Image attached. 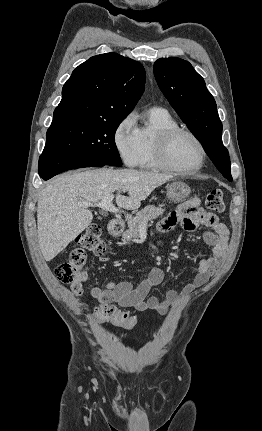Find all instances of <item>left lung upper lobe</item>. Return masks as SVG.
Wrapping results in <instances>:
<instances>
[{"label":"left lung upper lobe","mask_w":262,"mask_h":431,"mask_svg":"<svg viewBox=\"0 0 262 431\" xmlns=\"http://www.w3.org/2000/svg\"><path fill=\"white\" fill-rule=\"evenodd\" d=\"M159 88L225 178L232 181L229 153L222 143V123L204 79L188 61L160 58L154 64Z\"/></svg>","instance_id":"1"}]
</instances>
